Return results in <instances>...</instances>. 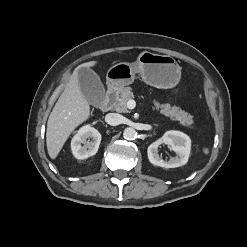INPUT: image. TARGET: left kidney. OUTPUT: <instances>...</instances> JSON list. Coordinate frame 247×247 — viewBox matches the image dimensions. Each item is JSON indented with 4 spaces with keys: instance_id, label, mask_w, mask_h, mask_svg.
Instances as JSON below:
<instances>
[{
    "instance_id": "obj_1",
    "label": "left kidney",
    "mask_w": 247,
    "mask_h": 247,
    "mask_svg": "<svg viewBox=\"0 0 247 247\" xmlns=\"http://www.w3.org/2000/svg\"><path fill=\"white\" fill-rule=\"evenodd\" d=\"M165 143L176 152V156L169 161H164L159 157L158 147ZM191 151V139L183 132L170 130L161 138L149 145L147 154L149 161L156 166L163 168H176L187 163Z\"/></svg>"
}]
</instances>
